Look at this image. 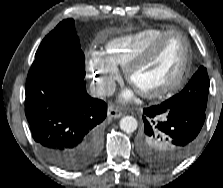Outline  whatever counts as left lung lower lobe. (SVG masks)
<instances>
[{
  "instance_id": "1",
  "label": "left lung lower lobe",
  "mask_w": 223,
  "mask_h": 188,
  "mask_svg": "<svg viewBox=\"0 0 223 188\" xmlns=\"http://www.w3.org/2000/svg\"><path fill=\"white\" fill-rule=\"evenodd\" d=\"M143 113L144 128L141 133L151 135L157 131L162 135L163 140L171 145L168 156L170 165L183 160L194 150L205 121V112L160 104L144 109Z\"/></svg>"
}]
</instances>
